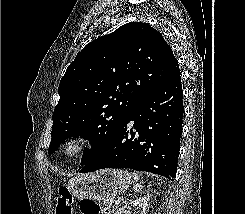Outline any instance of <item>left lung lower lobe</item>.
Wrapping results in <instances>:
<instances>
[{
  "instance_id": "0a47b994",
  "label": "left lung lower lobe",
  "mask_w": 245,
  "mask_h": 214,
  "mask_svg": "<svg viewBox=\"0 0 245 214\" xmlns=\"http://www.w3.org/2000/svg\"><path fill=\"white\" fill-rule=\"evenodd\" d=\"M182 98L181 72L177 66L140 102L113 140L85 162L80 172L129 168L172 180L182 134ZM130 121L134 124L128 130Z\"/></svg>"
}]
</instances>
